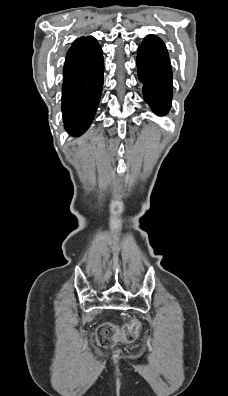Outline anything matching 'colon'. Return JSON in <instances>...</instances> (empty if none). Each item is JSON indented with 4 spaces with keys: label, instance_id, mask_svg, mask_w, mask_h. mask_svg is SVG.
<instances>
[{
    "label": "colon",
    "instance_id": "colon-1",
    "mask_svg": "<svg viewBox=\"0 0 228 396\" xmlns=\"http://www.w3.org/2000/svg\"><path fill=\"white\" fill-rule=\"evenodd\" d=\"M140 330L141 322L136 318L125 323L121 328L111 323H105L97 330V340L104 347L112 346L118 340L130 343L137 339Z\"/></svg>",
    "mask_w": 228,
    "mask_h": 396
}]
</instances>
